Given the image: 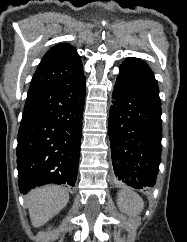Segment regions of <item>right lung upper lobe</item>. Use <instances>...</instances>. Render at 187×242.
Wrapping results in <instances>:
<instances>
[{
  "label": "right lung upper lobe",
  "mask_w": 187,
  "mask_h": 242,
  "mask_svg": "<svg viewBox=\"0 0 187 242\" xmlns=\"http://www.w3.org/2000/svg\"><path fill=\"white\" fill-rule=\"evenodd\" d=\"M83 75L76 49L67 43L52 47L42 58L30 83L28 94L66 85Z\"/></svg>",
  "instance_id": "cb5924a9"
}]
</instances>
